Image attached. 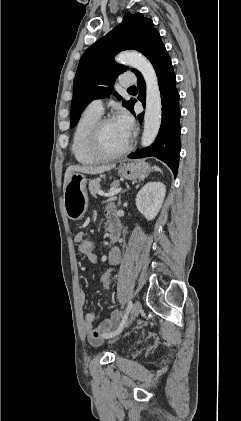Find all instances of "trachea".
<instances>
[{"mask_svg":"<svg viewBox=\"0 0 241 421\" xmlns=\"http://www.w3.org/2000/svg\"><path fill=\"white\" fill-rule=\"evenodd\" d=\"M135 89H136L135 86H132V87L129 88V90H135Z\"/></svg>","mask_w":241,"mask_h":421,"instance_id":"obj_1","label":"trachea"}]
</instances>
